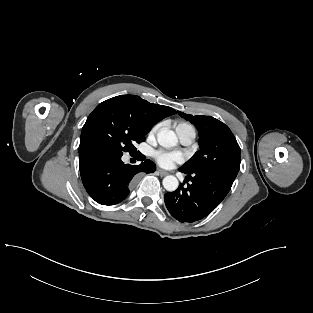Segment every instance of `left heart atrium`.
Wrapping results in <instances>:
<instances>
[{"label": "left heart atrium", "mask_w": 313, "mask_h": 313, "mask_svg": "<svg viewBox=\"0 0 313 313\" xmlns=\"http://www.w3.org/2000/svg\"><path fill=\"white\" fill-rule=\"evenodd\" d=\"M157 163L164 168H171L176 163H182L185 159L183 153L179 151L158 150L154 153Z\"/></svg>", "instance_id": "obj_1"}]
</instances>
